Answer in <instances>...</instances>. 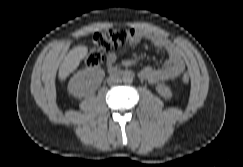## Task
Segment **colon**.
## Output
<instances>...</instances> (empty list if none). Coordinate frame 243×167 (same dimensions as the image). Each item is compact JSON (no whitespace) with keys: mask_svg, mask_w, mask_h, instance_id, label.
Here are the masks:
<instances>
[{"mask_svg":"<svg viewBox=\"0 0 243 167\" xmlns=\"http://www.w3.org/2000/svg\"><path fill=\"white\" fill-rule=\"evenodd\" d=\"M131 30L127 28L108 29L97 32L93 37V48L86 56V64L90 67L101 66L105 59V53L111 49L125 46L131 40ZM190 76L184 74L182 82L187 84Z\"/></svg>","mask_w":243,"mask_h":167,"instance_id":"obj_1","label":"colon"}]
</instances>
